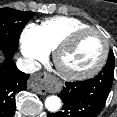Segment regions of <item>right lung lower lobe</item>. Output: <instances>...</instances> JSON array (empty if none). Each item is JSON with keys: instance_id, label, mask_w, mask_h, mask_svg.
<instances>
[{"instance_id": "obj_1", "label": "right lung lower lobe", "mask_w": 117, "mask_h": 117, "mask_svg": "<svg viewBox=\"0 0 117 117\" xmlns=\"http://www.w3.org/2000/svg\"><path fill=\"white\" fill-rule=\"evenodd\" d=\"M0 49L5 54V60L0 65V117H12L16 108L15 95L26 89L29 74L17 68L13 54Z\"/></svg>"}]
</instances>
